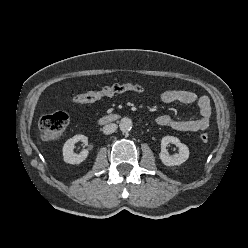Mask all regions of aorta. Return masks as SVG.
Masks as SVG:
<instances>
[{"label": "aorta", "instance_id": "obj_1", "mask_svg": "<svg viewBox=\"0 0 248 248\" xmlns=\"http://www.w3.org/2000/svg\"><path fill=\"white\" fill-rule=\"evenodd\" d=\"M132 120L128 117H124L120 120L119 128L122 132H129L132 129Z\"/></svg>", "mask_w": 248, "mask_h": 248}]
</instances>
